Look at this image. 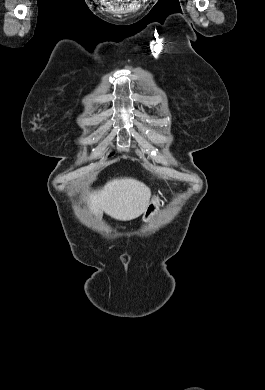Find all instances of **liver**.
Listing matches in <instances>:
<instances>
[{"label":"liver","mask_w":265,"mask_h":390,"mask_svg":"<svg viewBox=\"0 0 265 390\" xmlns=\"http://www.w3.org/2000/svg\"><path fill=\"white\" fill-rule=\"evenodd\" d=\"M151 191L142 182L133 178L109 181L102 189L87 193L91 212H105L114 219L129 221L145 213L150 204Z\"/></svg>","instance_id":"6515ba94"}]
</instances>
